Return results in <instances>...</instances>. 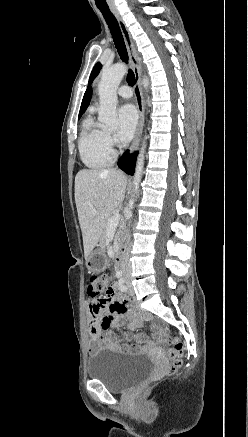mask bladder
Here are the masks:
<instances>
[{
  "instance_id": "bladder-1",
  "label": "bladder",
  "mask_w": 248,
  "mask_h": 437,
  "mask_svg": "<svg viewBox=\"0 0 248 437\" xmlns=\"http://www.w3.org/2000/svg\"><path fill=\"white\" fill-rule=\"evenodd\" d=\"M155 371L156 364L145 355L111 350H101L93 355L87 367L90 379L101 381L116 392L150 378Z\"/></svg>"
}]
</instances>
